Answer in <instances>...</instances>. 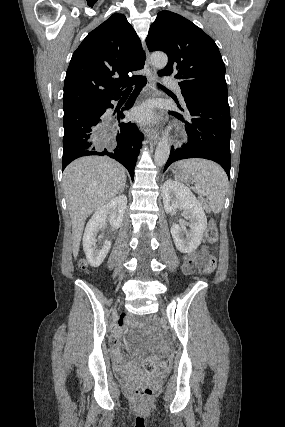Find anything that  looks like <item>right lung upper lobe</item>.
<instances>
[{"label": "right lung upper lobe", "instance_id": "1", "mask_svg": "<svg viewBox=\"0 0 285 427\" xmlns=\"http://www.w3.org/2000/svg\"><path fill=\"white\" fill-rule=\"evenodd\" d=\"M141 41L123 14H113L73 53L64 81L63 110L121 94L144 67Z\"/></svg>", "mask_w": 285, "mask_h": 427}]
</instances>
